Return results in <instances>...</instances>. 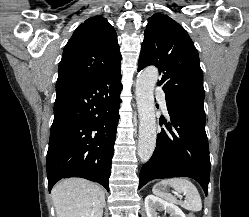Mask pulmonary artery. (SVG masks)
<instances>
[{"label": "pulmonary artery", "mask_w": 249, "mask_h": 217, "mask_svg": "<svg viewBox=\"0 0 249 217\" xmlns=\"http://www.w3.org/2000/svg\"><path fill=\"white\" fill-rule=\"evenodd\" d=\"M155 93L159 99L160 106L166 111V100H165V94L163 90L160 88H157Z\"/></svg>", "instance_id": "1"}]
</instances>
